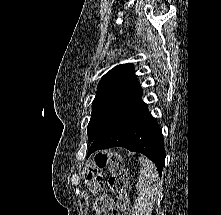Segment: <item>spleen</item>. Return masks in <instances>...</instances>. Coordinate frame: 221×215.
<instances>
[{"instance_id":"obj_1","label":"spleen","mask_w":221,"mask_h":215,"mask_svg":"<svg viewBox=\"0 0 221 215\" xmlns=\"http://www.w3.org/2000/svg\"><path fill=\"white\" fill-rule=\"evenodd\" d=\"M140 174L136 184L137 198L133 215H150L159 195L160 181L156 167L146 157H140Z\"/></svg>"}]
</instances>
